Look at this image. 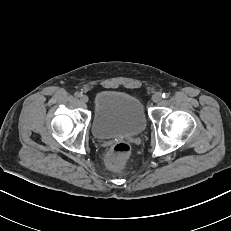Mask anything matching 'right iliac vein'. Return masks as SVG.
<instances>
[{
	"instance_id": "right-iliac-vein-1",
	"label": "right iliac vein",
	"mask_w": 231,
	"mask_h": 231,
	"mask_svg": "<svg viewBox=\"0 0 231 231\" xmlns=\"http://www.w3.org/2000/svg\"><path fill=\"white\" fill-rule=\"evenodd\" d=\"M80 100L83 102V103H87L89 101V98L87 95L83 94L80 96Z\"/></svg>"
}]
</instances>
